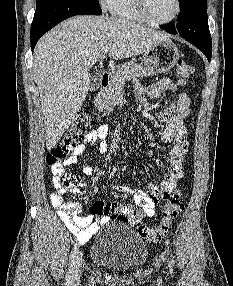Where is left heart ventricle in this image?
<instances>
[{
    "label": "left heart ventricle",
    "instance_id": "left-heart-ventricle-1",
    "mask_svg": "<svg viewBox=\"0 0 233 286\" xmlns=\"http://www.w3.org/2000/svg\"><path fill=\"white\" fill-rule=\"evenodd\" d=\"M149 15L155 20H165L176 10L175 0H146Z\"/></svg>",
    "mask_w": 233,
    "mask_h": 286
}]
</instances>
